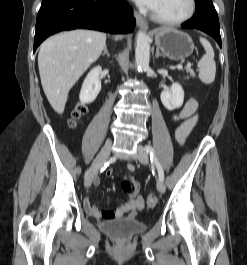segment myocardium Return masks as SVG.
Returning <instances> with one entry per match:
<instances>
[{"mask_svg":"<svg viewBox=\"0 0 247 265\" xmlns=\"http://www.w3.org/2000/svg\"><path fill=\"white\" fill-rule=\"evenodd\" d=\"M196 11H197V0H189V7L187 12L180 17L166 18L158 15L152 10L150 11V16L152 17V19H154L156 22L160 24L173 26L187 22L195 15Z\"/></svg>","mask_w":247,"mask_h":265,"instance_id":"myocardium-1","label":"myocardium"}]
</instances>
